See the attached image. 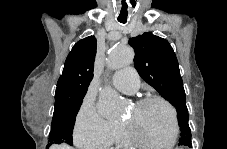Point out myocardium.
Segmentation results:
<instances>
[{
    "mask_svg": "<svg viewBox=\"0 0 227 149\" xmlns=\"http://www.w3.org/2000/svg\"><path fill=\"white\" fill-rule=\"evenodd\" d=\"M153 102H158L163 104L164 106H166L168 108V110L171 113L172 116V120H173V133L172 136L170 138V140L168 142H154L151 140L146 139L145 137H143L141 134H139L133 124L130 121H124V127L128 133V135L130 136V138L137 143L138 145H142V146H150V147H170L173 146L176 143V140L178 138L179 135V121H178V115H177V111L174 108V106L167 101L166 99L159 97V96H148L145 98H141L138 101L135 102L134 107L136 109L141 108L142 106L149 104V103H153Z\"/></svg>",
    "mask_w": 227,
    "mask_h": 149,
    "instance_id": "obj_1",
    "label": "myocardium"
}]
</instances>
